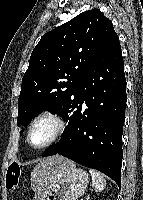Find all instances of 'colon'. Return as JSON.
I'll return each mask as SVG.
<instances>
[{"mask_svg":"<svg viewBox=\"0 0 143 200\" xmlns=\"http://www.w3.org/2000/svg\"><path fill=\"white\" fill-rule=\"evenodd\" d=\"M20 176V167L16 163L10 164L6 174V187L8 190L13 191L17 188Z\"/></svg>","mask_w":143,"mask_h":200,"instance_id":"colon-1","label":"colon"}]
</instances>
